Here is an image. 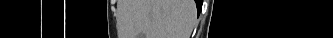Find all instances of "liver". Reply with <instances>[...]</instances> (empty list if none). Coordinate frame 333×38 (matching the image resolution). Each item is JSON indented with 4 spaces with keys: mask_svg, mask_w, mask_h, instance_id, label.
I'll list each match as a JSON object with an SVG mask.
<instances>
[{
    "mask_svg": "<svg viewBox=\"0 0 333 38\" xmlns=\"http://www.w3.org/2000/svg\"><path fill=\"white\" fill-rule=\"evenodd\" d=\"M137 34L145 38H189L193 0H137Z\"/></svg>",
    "mask_w": 333,
    "mask_h": 38,
    "instance_id": "liver-1",
    "label": "liver"
}]
</instances>
